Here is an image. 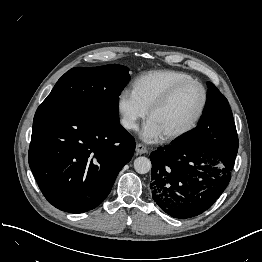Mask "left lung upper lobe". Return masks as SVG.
Listing matches in <instances>:
<instances>
[{"label":"left lung upper lobe","instance_id":"left-lung-upper-lobe-1","mask_svg":"<svg viewBox=\"0 0 262 262\" xmlns=\"http://www.w3.org/2000/svg\"><path fill=\"white\" fill-rule=\"evenodd\" d=\"M207 101L198 126L177 142L208 149H219L223 136L237 137L233 115L227 99L211 82H207Z\"/></svg>","mask_w":262,"mask_h":262}]
</instances>
